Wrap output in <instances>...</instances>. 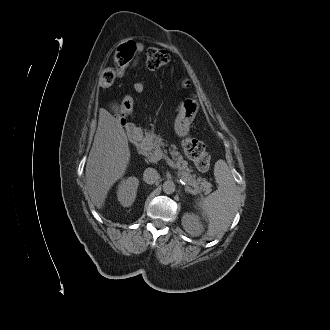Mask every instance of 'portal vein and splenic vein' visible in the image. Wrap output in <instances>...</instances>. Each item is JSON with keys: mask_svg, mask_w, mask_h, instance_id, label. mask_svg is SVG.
Here are the masks:
<instances>
[{"mask_svg": "<svg viewBox=\"0 0 330 330\" xmlns=\"http://www.w3.org/2000/svg\"><path fill=\"white\" fill-rule=\"evenodd\" d=\"M161 158H164L166 160V163L173 169H176V164L167 156L165 155L161 150H156L154 154V160L159 161Z\"/></svg>", "mask_w": 330, "mask_h": 330, "instance_id": "18ae733b", "label": "portal vein and splenic vein"}]
</instances>
